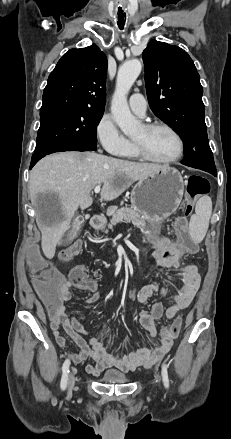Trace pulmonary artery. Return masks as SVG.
<instances>
[{"instance_id":"1","label":"pulmonary artery","mask_w":231,"mask_h":439,"mask_svg":"<svg viewBox=\"0 0 231 439\" xmlns=\"http://www.w3.org/2000/svg\"><path fill=\"white\" fill-rule=\"evenodd\" d=\"M129 106L134 114L144 117L147 110V102L143 95L135 93L129 99Z\"/></svg>"}]
</instances>
